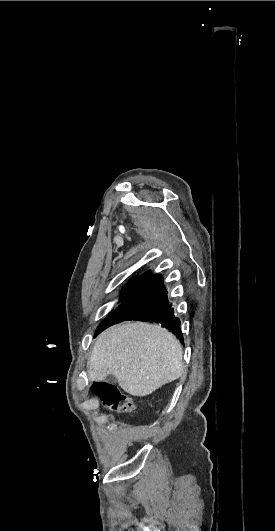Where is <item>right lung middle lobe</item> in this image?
<instances>
[{
	"label": "right lung middle lobe",
	"instance_id": "1",
	"mask_svg": "<svg viewBox=\"0 0 275 531\" xmlns=\"http://www.w3.org/2000/svg\"><path fill=\"white\" fill-rule=\"evenodd\" d=\"M140 279V277L138 278H134L133 280H131L127 285L126 287L122 290L121 292V296H123L130 288H132L137 282L138 280ZM102 323V322H101ZM100 323V325H101ZM100 325L98 326L97 330L99 329Z\"/></svg>",
	"mask_w": 275,
	"mask_h": 531
}]
</instances>
